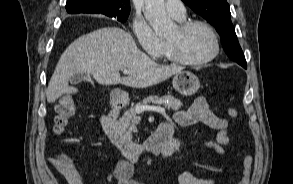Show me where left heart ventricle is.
Masks as SVG:
<instances>
[{
	"label": "left heart ventricle",
	"instance_id": "obj_1",
	"mask_svg": "<svg viewBox=\"0 0 293 184\" xmlns=\"http://www.w3.org/2000/svg\"><path fill=\"white\" fill-rule=\"evenodd\" d=\"M168 40L175 42L182 55L192 60L202 59L210 55L214 49L211 34L201 26L193 27L184 34H180L175 28Z\"/></svg>",
	"mask_w": 293,
	"mask_h": 184
}]
</instances>
